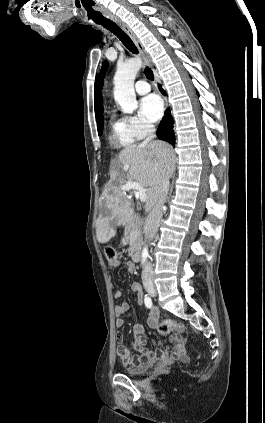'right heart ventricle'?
<instances>
[{
	"mask_svg": "<svg viewBox=\"0 0 265 423\" xmlns=\"http://www.w3.org/2000/svg\"><path fill=\"white\" fill-rule=\"evenodd\" d=\"M111 134L110 142L113 145H127L132 143L134 140L130 137L125 123L121 120H112L110 123Z\"/></svg>",
	"mask_w": 265,
	"mask_h": 423,
	"instance_id": "right-heart-ventricle-1",
	"label": "right heart ventricle"
}]
</instances>
